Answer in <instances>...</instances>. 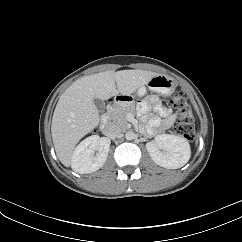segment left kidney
<instances>
[{"instance_id": "left-kidney-1", "label": "left kidney", "mask_w": 242, "mask_h": 242, "mask_svg": "<svg viewBox=\"0 0 242 242\" xmlns=\"http://www.w3.org/2000/svg\"><path fill=\"white\" fill-rule=\"evenodd\" d=\"M151 159L167 169H178L190 159L191 150L188 141L180 136L161 134L153 142L146 144Z\"/></svg>"}]
</instances>
